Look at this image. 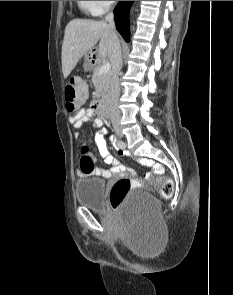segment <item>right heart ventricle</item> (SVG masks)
I'll list each match as a JSON object with an SVG mask.
<instances>
[{"label": "right heart ventricle", "instance_id": "1", "mask_svg": "<svg viewBox=\"0 0 233 295\" xmlns=\"http://www.w3.org/2000/svg\"><path fill=\"white\" fill-rule=\"evenodd\" d=\"M78 7L82 12L88 15H98L93 7L92 1H77Z\"/></svg>", "mask_w": 233, "mask_h": 295}]
</instances>
